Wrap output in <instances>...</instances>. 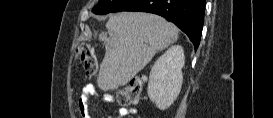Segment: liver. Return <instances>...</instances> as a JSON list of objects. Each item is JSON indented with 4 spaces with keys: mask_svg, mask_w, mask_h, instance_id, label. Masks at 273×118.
<instances>
[{
    "mask_svg": "<svg viewBox=\"0 0 273 118\" xmlns=\"http://www.w3.org/2000/svg\"><path fill=\"white\" fill-rule=\"evenodd\" d=\"M109 37L97 85L103 91L126 85L158 52L174 43L178 29L160 16L121 12L110 16Z\"/></svg>",
    "mask_w": 273,
    "mask_h": 118,
    "instance_id": "liver-1",
    "label": "liver"
}]
</instances>
